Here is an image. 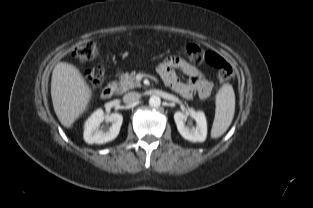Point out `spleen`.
I'll list each match as a JSON object with an SVG mask.
<instances>
[{
	"mask_svg": "<svg viewBox=\"0 0 313 208\" xmlns=\"http://www.w3.org/2000/svg\"><path fill=\"white\" fill-rule=\"evenodd\" d=\"M235 113V93L231 85H223L216 95L215 118L211 129V137L222 136L232 123Z\"/></svg>",
	"mask_w": 313,
	"mask_h": 208,
	"instance_id": "obj_1",
	"label": "spleen"
}]
</instances>
